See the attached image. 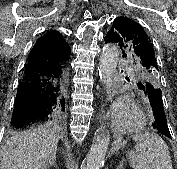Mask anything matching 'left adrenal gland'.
Wrapping results in <instances>:
<instances>
[{"mask_svg": "<svg viewBox=\"0 0 177 169\" xmlns=\"http://www.w3.org/2000/svg\"><path fill=\"white\" fill-rule=\"evenodd\" d=\"M124 159L120 162L119 166H117V169H123L124 168Z\"/></svg>", "mask_w": 177, "mask_h": 169, "instance_id": "obj_1", "label": "left adrenal gland"}]
</instances>
